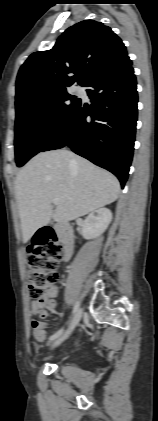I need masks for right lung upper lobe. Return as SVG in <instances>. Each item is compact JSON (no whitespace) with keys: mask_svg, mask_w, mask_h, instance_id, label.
<instances>
[{"mask_svg":"<svg viewBox=\"0 0 158 421\" xmlns=\"http://www.w3.org/2000/svg\"><path fill=\"white\" fill-rule=\"evenodd\" d=\"M126 52L121 39L101 22L81 21L68 28L47 51L31 54L16 80V104L33 96L84 86L100 69Z\"/></svg>","mask_w":158,"mask_h":421,"instance_id":"right-lung-upper-lobe-1","label":"right lung upper lobe"}]
</instances>
